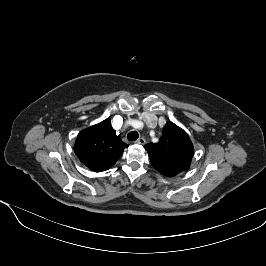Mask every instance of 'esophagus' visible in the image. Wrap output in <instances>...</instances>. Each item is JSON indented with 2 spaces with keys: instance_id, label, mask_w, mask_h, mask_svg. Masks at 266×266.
<instances>
[{
  "instance_id": "1",
  "label": "esophagus",
  "mask_w": 266,
  "mask_h": 266,
  "mask_svg": "<svg viewBox=\"0 0 266 266\" xmlns=\"http://www.w3.org/2000/svg\"><path fill=\"white\" fill-rule=\"evenodd\" d=\"M137 144L144 145L146 143L145 139L143 137H140L138 140H136Z\"/></svg>"
}]
</instances>
